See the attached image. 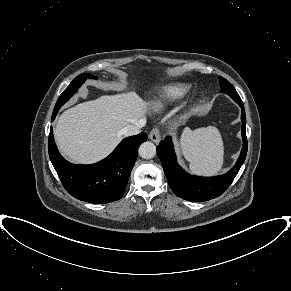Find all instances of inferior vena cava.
<instances>
[{"label":"inferior vena cava","instance_id":"obj_1","mask_svg":"<svg viewBox=\"0 0 291 291\" xmlns=\"http://www.w3.org/2000/svg\"><path fill=\"white\" fill-rule=\"evenodd\" d=\"M144 120H137L133 124H129L122 129V134L125 136L136 135L140 132V129L144 126Z\"/></svg>","mask_w":291,"mask_h":291}]
</instances>
